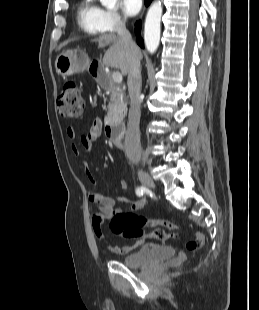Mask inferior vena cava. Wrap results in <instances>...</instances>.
Listing matches in <instances>:
<instances>
[{"label":"inferior vena cava","instance_id":"obj_1","mask_svg":"<svg viewBox=\"0 0 259 310\" xmlns=\"http://www.w3.org/2000/svg\"><path fill=\"white\" fill-rule=\"evenodd\" d=\"M117 33L121 41L131 50V63L128 72V91L130 96V111L128 121V136L131 140V159L138 163L141 159L139 123L141 115V65L140 58L136 55L137 46L132 40L130 32L126 29L125 21L119 20Z\"/></svg>","mask_w":259,"mask_h":310}]
</instances>
